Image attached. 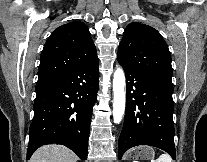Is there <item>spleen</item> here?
Returning <instances> with one entry per match:
<instances>
[{
    "label": "spleen",
    "instance_id": "spleen-1",
    "mask_svg": "<svg viewBox=\"0 0 207 162\" xmlns=\"http://www.w3.org/2000/svg\"><path fill=\"white\" fill-rule=\"evenodd\" d=\"M151 162H172V158L168 154H162L156 160H151Z\"/></svg>",
    "mask_w": 207,
    "mask_h": 162
}]
</instances>
